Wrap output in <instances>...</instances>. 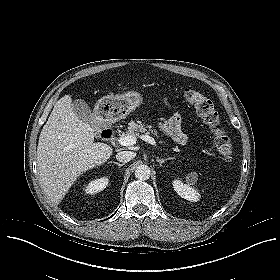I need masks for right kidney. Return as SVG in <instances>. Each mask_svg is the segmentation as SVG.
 <instances>
[{"label":"right kidney","instance_id":"ca27d5eb","mask_svg":"<svg viewBox=\"0 0 280 280\" xmlns=\"http://www.w3.org/2000/svg\"><path fill=\"white\" fill-rule=\"evenodd\" d=\"M109 179L106 177H102L99 179H95L88 183L84 190L87 194H96L106 188L108 185Z\"/></svg>","mask_w":280,"mask_h":280}]
</instances>
